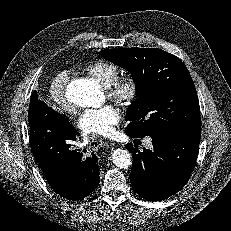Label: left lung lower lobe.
<instances>
[{"mask_svg":"<svg viewBox=\"0 0 231 231\" xmlns=\"http://www.w3.org/2000/svg\"><path fill=\"white\" fill-rule=\"evenodd\" d=\"M131 138H140L127 133ZM153 148L143 152L127 144L132 153L130 181L133 190L148 201H161L179 192L188 182L199 152L201 129L174 135H151Z\"/></svg>","mask_w":231,"mask_h":231,"instance_id":"1","label":"left lung lower lobe"}]
</instances>
